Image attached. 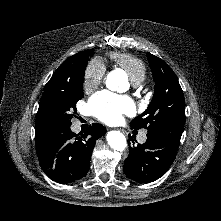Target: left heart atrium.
Masks as SVG:
<instances>
[{"mask_svg": "<svg viewBox=\"0 0 221 221\" xmlns=\"http://www.w3.org/2000/svg\"><path fill=\"white\" fill-rule=\"evenodd\" d=\"M88 108L97 119L108 124L118 123L123 115L135 111L134 102L129 97L106 90L96 93L90 99Z\"/></svg>", "mask_w": 221, "mask_h": 221, "instance_id": "39dd6f15", "label": "left heart atrium"}]
</instances>
